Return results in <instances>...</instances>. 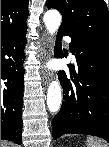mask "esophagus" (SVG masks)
<instances>
[{
	"label": "esophagus",
	"instance_id": "34e87169",
	"mask_svg": "<svg viewBox=\"0 0 109 147\" xmlns=\"http://www.w3.org/2000/svg\"><path fill=\"white\" fill-rule=\"evenodd\" d=\"M52 47L49 35L44 32L42 35V60H46L51 56ZM51 80V74L47 71H43L42 81L44 85H48Z\"/></svg>",
	"mask_w": 109,
	"mask_h": 147
}]
</instances>
